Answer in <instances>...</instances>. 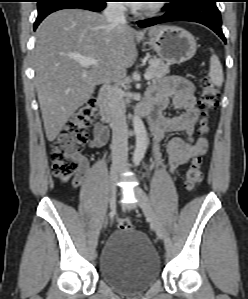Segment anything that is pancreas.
Instances as JSON below:
<instances>
[{"label": "pancreas", "instance_id": "obj_1", "mask_svg": "<svg viewBox=\"0 0 248 299\" xmlns=\"http://www.w3.org/2000/svg\"><path fill=\"white\" fill-rule=\"evenodd\" d=\"M149 64L150 66L148 67L147 71L151 73V79L162 78L163 76L169 74V64L164 63L162 59L152 58L149 60Z\"/></svg>", "mask_w": 248, "mask_h": 299}]
</instances>
